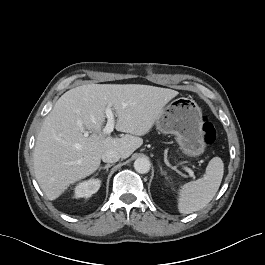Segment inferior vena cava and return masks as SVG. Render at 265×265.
Wrapping results in <instances>:
<instances>
[{
    "instance_id": "1",
    "label": "inferior vena cava",
    "mask_w": 265,
    "mask_h": 265,
    "mask_svg": "<svg viewBox=\"0 0 265 265\" xmlns=\"http://www.w3.org/2000/svg\"><path fill=\"white\" fill-rule=\"evenodd\" d=\"M121 158L115 150H107L102 154V161L105 163H115Z\"/></svg>"
}]
</instances>
